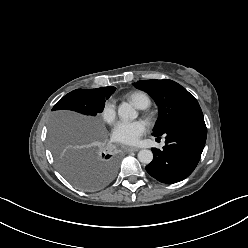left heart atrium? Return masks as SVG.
<instances>
[{
    "instance_id": "39dd6f15",
    "label": "left heart atrium",
    "mask_w": 248,
    "mask_h": 248,
    "mask_svg": "<svg viewBox=\"0 0 248 248\" xmlns=\"http://www.w3.org/2000/svg\"><path fill=\"white\" fill-rule=\"evenodd\" d=\"M146 132V124L143 121H121L112 130V139L125 145H135Z\"/></svg>"
}]
</instances>
